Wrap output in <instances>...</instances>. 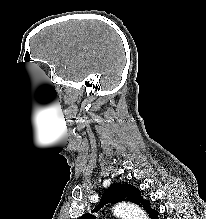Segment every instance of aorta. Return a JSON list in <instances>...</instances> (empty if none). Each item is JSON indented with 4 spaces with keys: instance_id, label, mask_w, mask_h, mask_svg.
<instances>
[{
    "instance_id": "aorta-1",
    "label": "aorta",
    "mask_w": 206,
    "mask_h": 219,
    "mask_svg": "<svg viewBox=\"0 0 206 219\" xmlns=\"http://www.w3.org/2000/svg\"><path fill=\"white\" fill-rule=\"evenodd\" d=\"M114 213L122 219H148L140 207L129 202L118 203L114 207Z\"/></svg>"
}]
</instances>
